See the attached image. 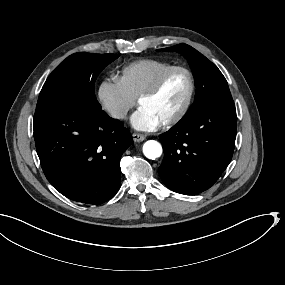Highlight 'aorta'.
I'll use <instances>...</instances> for the list:
<instances>
[{
    "label": "aorta",
    "instance_id": "obj_1",
    "mask_svg": "<svg viewBox=\"0 0 285 285\" xmlns=\"http://www.w3.org/2000/svg\"><path fill=\"white\" fill-rule=\"evenodd\" d=\"M143 153L148 159H156L162 154V146L155 140H149L143 145Z\"/></svg>",
    "mask_w": 285,
    "mask_h": 285
}]
</instances>
